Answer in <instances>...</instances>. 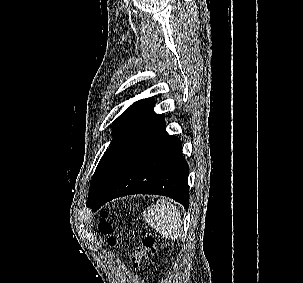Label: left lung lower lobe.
Listing matches in <instances>:
<instances>
[{
    "label": "left lung lower lobe",
    "instance_id": "obj_1",
    "mask_svg": "<svg viewBox=\"0 0 303 283\" xmlns=\"http://www.w3.org/2000/svg\"><path fill=\"white\" fill-rule=\"evenodd\" d=\"M181 149L180 140L166 132L164 117L152 105L87 205L97 210L114 198L141 193L168 196L187 209L189 167Z\"/></svg>",
    "mask_w": 303,
    "mask_h": 283
}]
</instances>
